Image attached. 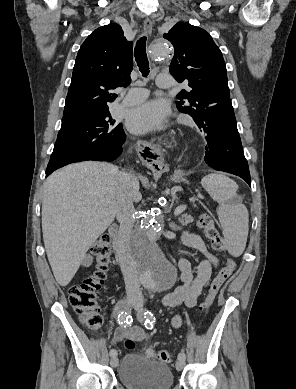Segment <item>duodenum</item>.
<instances>
[{"instance_id":"410a0bca","label":"duodenum","mask_w":296,"mask_h":389,"mask_svg":"<svg viewBox=\"0 0 296 389\" xmlns=\"http://www.w3.org/2000/svg\"><path fill=\"white\" fill-rule=\"evenodd\" d=\"M113 241L114 253L120 263H125L129 258V252L126 242L119 236L118 227L112 225L109 229Z\"/></svg>"}]
</instances>
